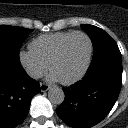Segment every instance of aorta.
I'll return each instance as SVG.
<instances>
[{"label":"aorta","instance_id":"1","mask_svg":"<svg viewBox=\"0 0 128 128\" xmlns=\"http://www.w3.org/2000/svg\"><path fill=\"white\" fill-rule=\"evenodd\" d=\"M48 98L51 103L60 105L63 103L65 95L61 88L53 87L48 91Z\"/></svg>","mask_w":128,"mask_h":128}]
</instances>
